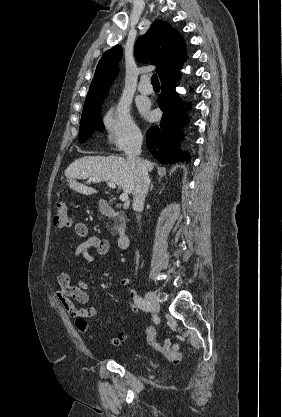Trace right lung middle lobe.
Listing matches in <instances>:
<instances>
[{
    "label": "right lung middle lobe",
    "instance_id": "obj_1",
    "mask_svg": "<svg viewBox=\"0 0 282 417\" xmlns=\"http://www.w3.org/2000/svg\"><path fill=\"white\" fill-rule=\"evenodd\" d=\"M106 95L107 93L86 97L79 131L80 142L86 141L94 131L104 129L100 112Z\"/></svg>",
    "mask_w": 282,
    "mask_h": 417
}]
</instances>
